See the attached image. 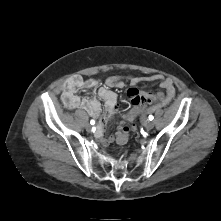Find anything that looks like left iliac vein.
Returning a JSON list of instances; mask_svg holds the SVG:
<instances>
[{"mask_svg": "<svg viewBox=\"0 0 221 221\" xmlns=\"http://www.w3.org/2000/svg\"><path fill=\"white\" fill-rule=\"evenodd\" d=\"M153 127H154V123L152 121H148L145 125V128L147 130H151V129H153Z\"/></svg>", "mask_w": 221, "mask_h": 221, "instance_id": "obj_1", "label": "left iliac vein"}]
</instances>
